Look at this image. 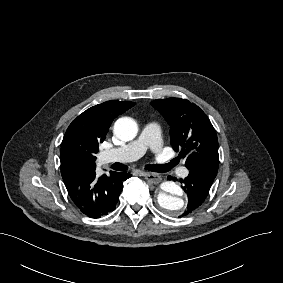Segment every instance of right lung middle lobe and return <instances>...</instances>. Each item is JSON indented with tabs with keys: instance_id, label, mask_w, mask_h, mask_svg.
Instances as JSON below:
<instances>
[{
	"instance_id": "1",
	"label": "right lung middle lobe",
	"mask_w": 283,
	"mask_h": 283,
	"mask_svg": "<svg viewBox=\"0 0 283 283\" xmlns=\"http://www.w3.org/2000/svg\"><path fill=\"white\" fill-rule=\"evenodd\" d=\"M61 174L62 176L79 169L94 166V158L81 148L69 147L61 150Z\"/></svg>"
}]
</instances>
